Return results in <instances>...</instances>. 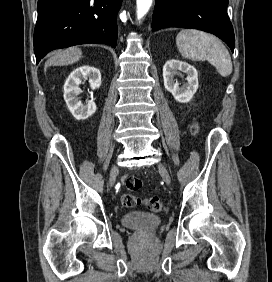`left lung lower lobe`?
<instances>
[{
	"instance_id": "obj_1",
	"label": "left lung lower lobe",
	"mask_w": 272,
	"mask_h": 282,
	"mask_svg": "<svg viewBox=\"0 0 272 282\" xmlns=\"http://www.w3.org/2000/svg\"><path fill=\"white\" fill-rule=\"evenodd\" d=\"M228 0H156L152 31L166 27L193 28L212 33L234 50Z\"/></svg>"
}]
</instances>
